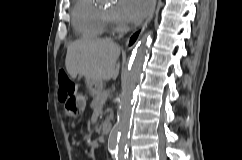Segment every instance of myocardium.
<instances>
[{"mask_svg": "<svg viewBox=\"0 0 242 160\" xmlns=\"http://www.w3.org/2000/svg\"><path fill=\"white\" fill-rule=\"evenodd\" d=\"M102 15H103L105 25H107L108 27H110L114 30L119 29V24L117 23V21L115 20V18L113 16H111L109 13H107L106 11H103V10H102Z\"/></svg>", "mask_w": 242, "mask_h": 160, "instance_id": "myocardium-1", "label": "myocardium"}]
</instances>
